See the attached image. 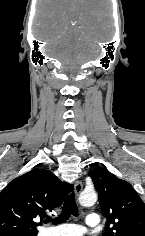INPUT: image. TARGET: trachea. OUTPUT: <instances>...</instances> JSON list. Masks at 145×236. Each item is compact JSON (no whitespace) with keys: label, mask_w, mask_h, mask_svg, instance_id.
<instances>
[{"label":"trachea","mask_w":145,"mask_h":236,"mask_svg":"<svg viewBox=\"0 0 145 236\" xmlns=\"http://www.w3.org/2000/svg\"><path fill=\"white\" fill-rule=\"evenodd\" d=\"M71 215L78 216V208L75 202L74 193H71L66 197L61 214L54 220L47 219L45 222L48 223L53 221L54 224L63 223L68 220Z\"/></svg>","instance_id":"trachea-1"}]
</instances>
